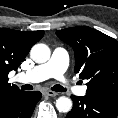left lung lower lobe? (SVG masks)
I'll return each instance as SVG.
<instances>
[{
  "label": "left lung lower lobe",
  "mask_w": 118,
  "mask_h": 118,
  "mask_svg": "<svg viewBox=\"0 0 118 118\" xmlns=\"http://www.w3.org/2000/svg\"><path fill=\"white\" fill-rule=\"evenodd\" d=\"M73 108L66 118H116L118 102L95 96H71Z\"/></svg>",
  "instance_id": "0a47b994"
}]
</instances>
